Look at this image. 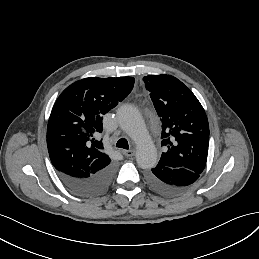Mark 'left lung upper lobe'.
<instances>
[{
	"instance_id": "left-lung-upper-lobe-1",
	"label": "left lung upper lobe",
	"mask_w": 259,
	"mask_h": 259,
	"mask_svg": "<svg viewBox=\"0 0 259 259\" xmlns=\"http://www.w3.org/2000/svg\"><path fill=\"white\" fill-rule=\"evenodd\" d=\"M143 80L162 122L161 143L167 150L155 168H185L201 174L208 155L209 125L199 100L171 75H149Z\"/></svg>"
}]
</instances>
